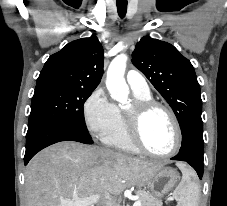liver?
Returning a JSON list of instances; mask_svg holds the SVG:
<instances>
[{
	"label": "liver",
	"mask_w": 227,
	"mask_h": 206,
	"mask_svg": "<svg viewBox=\"0 0 227 206\" xmlns=\"http://www.w3.org/2000/svg\"><path fill=\"white\" fill-rule=\"evenodd\" d=\"M179 167H184L178 163ZM165 166L98 146L56 143L35 155L25 173L26 206H66L99 194L97 206L129 186H144Z\"/></svg>",
	"instance_id": "liver-1"
}]
</instances>
